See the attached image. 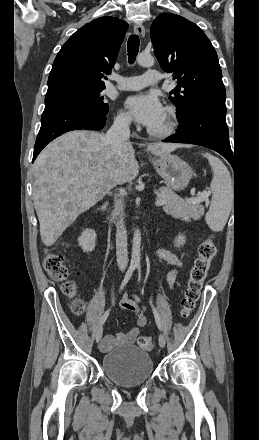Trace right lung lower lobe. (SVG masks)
I'll use <instances>...</instances> for the list:
<instances>
[{"mask_svg": "<svg viewBox=\"0 0 259 440\" xmlns=\"http://www.w3.org/2000/svg\"><path fill=\"white\" fill-rule=\"evenodd\" d=\"M106 114L80 105H62L45 108L41 117L33 160L41 150L56 137L72 130H101L106 123Z\"/></svg>", "mask_w": 259, "mask_h": 440, "instance_id": "98d812e1", "label": "right lung lower lobe"}]
</instances>
